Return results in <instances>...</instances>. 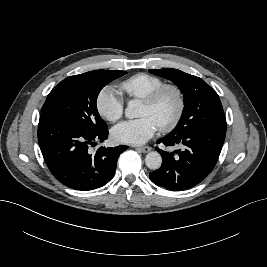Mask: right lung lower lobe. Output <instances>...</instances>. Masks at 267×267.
Masks as SVG:
<instances>
[{
  "label": "right lung lower lobe",
  "instance_id": "98d812e1",
  "mask_svg": "<svg viewBox=\"0 0 267 267\" xmlns=\"http://www.w3.org/2000/svg\"><path fill=\"white\" fill-rule=\"evenodd\" d=\"M107 137L108 129L90 132L55 116H40L38 142L44 160L58 181L75 190L102 187L114 176L118 157L128 146L100 147L94 154L89 150Z\"/></svg>",
  "mask_w": 267,
  "mask_h": 267
}]
</instances>
